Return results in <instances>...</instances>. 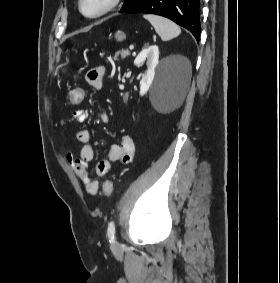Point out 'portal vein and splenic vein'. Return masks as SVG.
<instances>
[{
	"mask_svg": "<svg viewBox=\"0 0 280 283\" xmlns=\"http://www.w3.org/2000/svg\"><path fill=\"white\" fill-rule=\"evenodd\" d=\"M133 48H134L133 45H130L129 49H130V50H133Z\"/></svg>",
	"mask_w": 280,
	"mask_h": 283,
	"instance_id": "portal-vein-and-splenic-vein-1",
	"label": "portal vein and splenic vein"
}]
</instances>
